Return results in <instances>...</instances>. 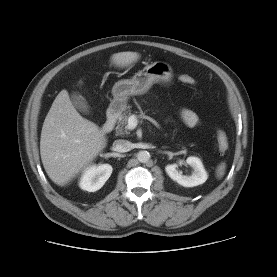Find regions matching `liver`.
<instances>
[{
	"mask_svg": "<svg viewBox=\"0 0 277 277\" xmlns=\"http://www.w3.org/2000/svg\"><path fill=\"white\" fill-rule=\"evenodd\" d=\"M136 52H119L111 56L117 67H127L138 61ZM107 138L94 122L83 118L73 106L67 90L55 98L44 120L40 155L49 178L64 186L85 171L106 147Z\"/></svg>",
	"mask_w": 277,
	"mask_h": 277,
	"instance_id": "1",
	"label": "liver"
}]
</instances>
